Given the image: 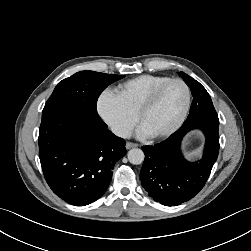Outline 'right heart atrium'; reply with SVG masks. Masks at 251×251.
<instances>
[{
    "instance_id": "1",
    "label": "right heart atrium",
    "mask_w": 251,
    "mask_h": 251,
    "mask_svg": "<svg viewBox=\"0 0 251 251\" xmlns=\"http://www.w3.org/2000/svg\"><path fill=\"white\" fill-rule=\"evenodd\" d=\"M96 110L111 131L119 137H127L136 124V114L130 111L111 89H105L99 94Z\"/></svg>"
}]
</instances>
